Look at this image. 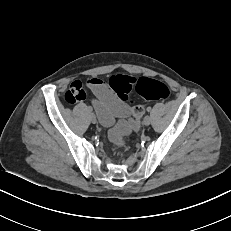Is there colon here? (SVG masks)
<instances>
[{"label": "colon", "instance_id": "1", "mask_svg": "<svg viewBox=\"0 0 231 231\" xmlns=\"http://www.w3.org/2000/svg\"><path fill=\"white\" fill-rule=\"evenodd\" d=\"M109 86L122 100H127L132 90L142 99L149 101L166 100L170 95V90L165 83L146 77L136 78L119 74L110 78ZM134 108V120L129 123L118 124L109 133L110 140L117 146H122L124 136L138 127L137 121L142 115V108L140 106H135Z\"/></svg>", "mask_w": 231, "mask_h": 231}]
</instances>
